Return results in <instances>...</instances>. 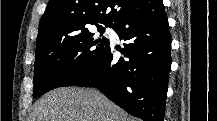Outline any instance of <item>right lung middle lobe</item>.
Returning <instances> with one entry per match:
<instances>
[{
	"label": "right lung middle lobe",
	"instance_id": "right-lung-middle-lobe-1",
	"mask_svg": "<svg viewBox=\"0 0 217 121\" xmlns=\"http://www.w3.org/2000/svg\"><path fill=\"white\" fill-rule=\"evenodd\" d=\"M95 26L101 36L104 27ZM104 26L113 28L114 25ZM88 27L36 47L33 97L57 87L73 85L99 61L109 46V40L95 36Z\"/></svg>",
	"mask_w": 217,
	"mask_h": 121
}]
</instances>
